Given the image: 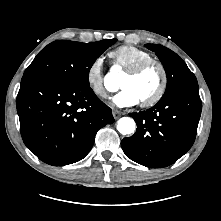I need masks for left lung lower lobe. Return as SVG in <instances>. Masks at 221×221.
Listing matches in <instances>:
<instances>
[{
    "instance_id": "0a47b994",
    "label": "left lung lower lobe",
    "mask_w": 221,
    "mask_h": 221,
    "mask_svg": "<svg viewBox=\"0 0 221 221\" xmlns=\"http://www.w3.org/2000/svg\"><path fill=\"white\" fill-rule=\"evenodd\" d=\"M201 109L199 90L185 89L146 111L130 113L137 130L122 140L125 155L149 168L171 165L193 145Z\"/></svg>"
}]
</instances>
